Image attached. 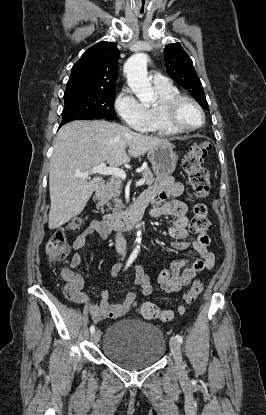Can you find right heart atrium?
I'll use <instances>...</instances> for the list:
<instances>
[{"label": "right heart atrium", "instance_id": "right-heart-atrium-1", "mask_svg": "<svg viewBox=\"0 0 266 415\" xmlns=\"http://www.w3.org/2000/svg\"><path fill=\"white\" fill-rule=\"evenodd\" d=\"M115 108L129 126L144 129L148 121L147 108L141 104L129 89L123 90L115 101Z\"/></svg>", "mask_w": 266, "mask_h": 415}]
</instances>
